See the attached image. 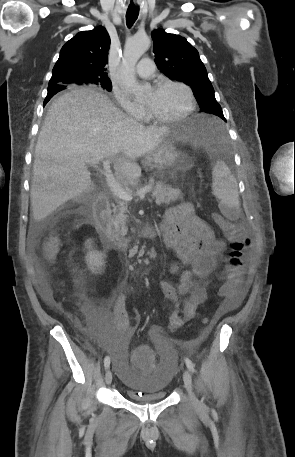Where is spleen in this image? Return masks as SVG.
Returning <instances> with one entry per match:
<instances>
[{"instance_id": "obj_1", "label": "spleen", "mask_w": 295, "mask_h": 457, "mask_svg": "<svg viewBox=\"0 0 295 457\" xmlns=\"http://www.w3.org/2000/svg\"><path fill=\"white\" fill-rule=\"evenodd\" d=\"M212 189L220 200L221 213L229 219L239 212V192L236 179L223 161H217L212 170Z\"/></svg>"}]
</instances>
